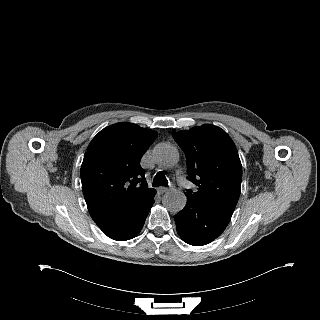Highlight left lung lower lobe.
Returning <instances> with one entry per match:
<instances>
[{"label": "left lung lower lobe", "mask_w": 320, "mask_h": 320, "mask_svg": "<svg viewBox=\"0 0 320 320\" xmlns=\"http://www.w3.org/2000/svg\"><path fill=\"white\" fill-rule=\"evenodd\" d=\"M231 216L222 210L187 196L185 207L174 216L183 241L202 246L216 239L227 227Z\"/></svg>", "instance_id": "left-lung-lower-lobe-1"}]
</instances>
